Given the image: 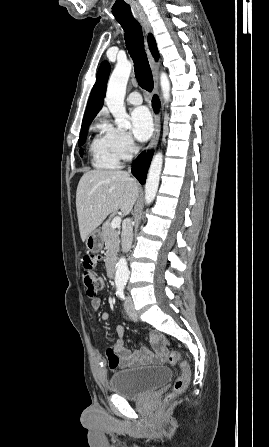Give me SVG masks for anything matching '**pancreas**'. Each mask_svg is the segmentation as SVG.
I'll use <instances>...</instances> for the list:
<instances>
[{
  "instance_id": "pancreas-1",
  "label": "pancreas",
  "mask_w": 269,
  "mask_h": 447,
  "mask_svg": "<svg viewBox=\"0 0 269 447\" xmlns=\"http://www.w3.org/2000/svg\"><path fill=\"white\" fill-rule=\"evenodd\" d=\"M102 233L107 249L105 263L107 269H110L112 263H116V255L119 249V231L113 229L110 220H107V222L102 225Z\"/></svg>"
}]
</instances>
